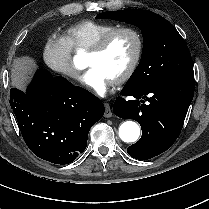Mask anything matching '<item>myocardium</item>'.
Listing matches in <instances>:
<instances>
[{
	"label": "myocardium",
	"instance_id": "f54148a6",
	"mask_svg": "<svg viewBox=\"0 0 209 209\" xmlns=\"http://www.w3.org/2000/svg\"><path fill=\"white\" fill-rule=\"evenodd\" d=\"M119 33H130L136 41V51L134 54L133 59L131 60L130 64L124 71V73L115 81V84L121 85L127 82L136 71L140 60L143 56L144 52V39L140 31L131 26H121L116 27L106 33L101 39H99L89 50L88 53L92 55H100L102 54L109 44L111 43L112 39Z\"/></svg>",
	"mask_w": 209,
	"mask_h": 209
}]
</instances>
